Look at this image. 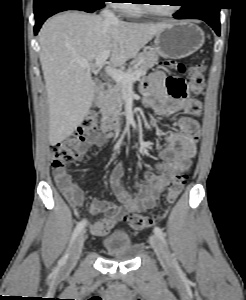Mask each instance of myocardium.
Here are the masks:
<instances>
[{
  "label": "myocardium",
  "instance_id": "f54148a6",
  "mask_svg": "<svg viewBox=\"0 0 246 300\" xmlns=\"http://www.w3.org/2000/svg\"><path fill=\"white\" fill-rule=\"evenodd\" d=\"M139 8L141 9V11L143 13L153 15L156 17H172V16L176 15L178 13V11L180 10L179 5H175L174 8L169 12H159V11L154 10L150 3L141 4V5H139Z\"/></svg>",
  "mask_w": 246,
  "mask_h": 300
}]
</instances>
